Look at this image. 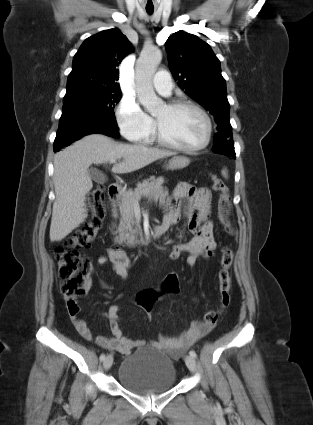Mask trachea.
Segmentation results:
<instances>
[{
    "label": "trachea",
    "mask_w": 313,
    "mask_h": 425,
    "mask_svg": "<svg viewBox=\"0 0 313 425\" xmlns=\"http://www.w3.org/2000/svg\"><path fill=\"white\" fill-rule=\"evenodd\" d=\"M153 11H154V9L146 8V12H147L148 14H152V13H153Z\"/></svg>",
    "instance_id": "3493384b"
}]
</instances>
